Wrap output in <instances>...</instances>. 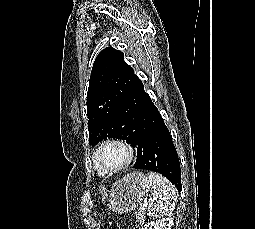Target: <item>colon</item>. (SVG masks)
Instances as JSON below:
<instances>
[{
    "label": "colon",
    "mask_w": 255,
    "mask_h": 229,
    "mask_svg": "<svg viewBox=\"0 0 255 229\" xmlns=\"http://www.w3.org/2000/svg\"><path fill=\"white\" fill-rule=\"evenodd\" d=\"M104 229H118V226L113 222H109L105 225Z\"/></svg>",
    "instance_id": "obj_1"
}]
</instances>
